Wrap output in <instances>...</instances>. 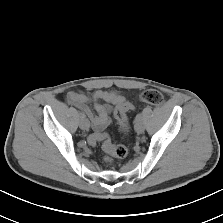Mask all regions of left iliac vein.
I'll use <instances>...</instances> for the list:
<instances>
[{"label": "left iliac vein", "instance_id": "obj_1", "mask_svg": "<svg viewBox=\"0 0 223 223\" xmlns=\"http://www.w3.org/2000/svg\"><path fill=\"white\" fill-rule=\"evenodd\" d=\"M134 129L138 134H142L144 132V125L141 120L135 121Z\"/></svg>", "mask_w": 223, "mask_h": 223}]
</instances>
